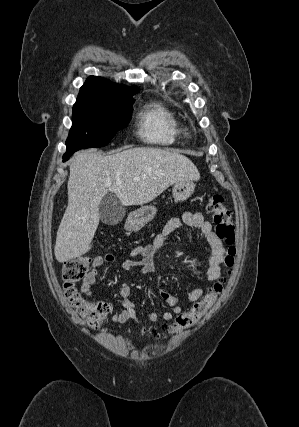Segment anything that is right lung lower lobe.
Masks as SVG:
<instances>
[{"label": "right lung lower lobe", "instance_id": "98d812e1", "mask_svg": "<svg viewBox=\"0 0 299 427\" xmlns=\"http://www.w3.org/2000/svg\"><path fill=\"white\" fill-rule=\"evenodd\" d=\"M73 153H65L63 155V162L67 161Z\"/></svg>", "mask_w": 299, "mask_h": 427}]
</instances>
